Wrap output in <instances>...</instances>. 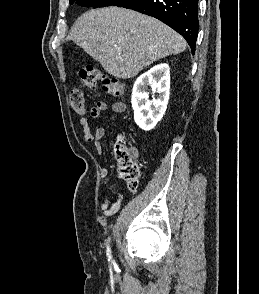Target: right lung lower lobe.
<instances>
[{
    "mask_svg": "<svg viewBox=\"0 0 259 294\" xmlns=\"http://www.w3.org/2000/svg\"><path fill=\"white\" fill-rule=\"evenodd\" d=\"M153 16L181 34L192 53L198 35V0H130L123 6Z\"/></svg>",
    "mask_w": 259,
    "mask_h": 294,
    "instance_id": "98d812e1",
    "label": "right lung lower lobe"
}]
</instances>
